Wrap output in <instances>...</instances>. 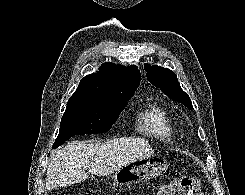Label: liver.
Returning a JSON list of instances; mask_svg holds the SVG:
<instances>
[{
	"label": "liver",
	"mask_w": 245,
	"mask_h": 195,
	"mask_svg": "<svg viewBox=\"0 0 245 195\" xmlns=\"http://www.w3.org/2000/svg\"><path fill=\"white\" fill-rule=\"evenodd\" d=\"M154 149L142 138H114L103 143L73 142L58 149L47 169L46 189L82 182L86 170L97 176L115 173L136 159L151 157Z\"/></svg>",
	"instance_id": "1"
}]
</instances>
